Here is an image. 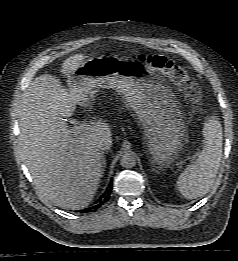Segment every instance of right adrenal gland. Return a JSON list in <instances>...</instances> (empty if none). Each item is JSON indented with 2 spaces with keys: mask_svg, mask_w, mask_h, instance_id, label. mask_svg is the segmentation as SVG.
Here are the masks:
<instances>
[{
  "mask_svg": "<svg viewBox=\"0 0 238 261\" xmlns=\"http://www.w3.org/2000/svg\"><path fill=\"white\" fill-rule=\"evenodd\" d=\"M105 168H106V161H105V159L103 160V171L105 170Z\"/></svg>",
  "mask_w": 238,
  "mask_h": 261,
  "instance_id": "obj_1",
  "label": "right adrenal gland"
}]
</instances>
